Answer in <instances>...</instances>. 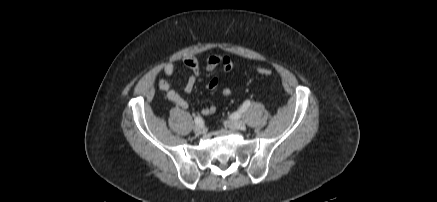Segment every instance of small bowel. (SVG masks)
Segmentation results:
<instances>
[{"label": "small bowel", "mask_w": 437, "mask_h": 202, "mask_svg": "<svg viewBox=\"0 0 437 202\" xmlns=\"http://www.w3.org/2000/svg\"><path fill=\"white\" fill-rule=\"evenodd\" d=\"M183 63L187 69L190 70L191 74L188 77L183 91L185 93H191L195 88L197 77L200 74V63L196 56L189 55L184 58ZM204 69L206 71H214L216 69H222L225 72H231L233 69V63L228 56L225 55H212L209 56L204 63ZM175 72V65L173 63L165 64L163 68V73L166 76H172ZM158 87L162 91L166 93L167 98L175 103L178 107L182 109L190 108L189 103L176 91L174 90L170 83L165 79L158 80ZM220 86L219 79L217 77L212 78L208 84L206 85V89L210 91L217 90ZM231 95V91L228 88H223L220 92V96L222 99H227ZM216 107L214 105H210L202 110V114L211 115L215 113Z\"/></svg>", "instance_id": "obj_1"}]
</instances>
